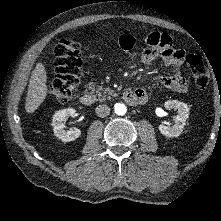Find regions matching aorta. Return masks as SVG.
<instances>
[{
    "label": "aorta",
    "instance_id": "obj_1",
    "mask_svg": "<svg viewBox=\"0 0 221 221\" xmlns=\"http://www.w3.org/2000/svg\"><path fill=\"white\" fill-rule=\"evenodd\" d=\"M114 110L117 115H124L127 111L126 106L122 103L115 104Z\"/></svg>",
    "mask_w": 221,
    "mask_h": 221
}]
</instances>
